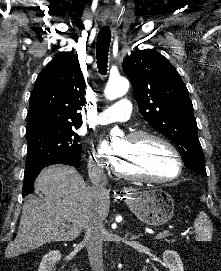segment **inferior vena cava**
Wrapping results in <instances>:
<instances>
[{
    "mask_svg": "<svg viewBox=\"0 0 221 271\" xmlns=\"http://www.w3.org/2000/svg\"><path fill=\"white\" fill-rule=\"evenodd\" d=\"M98 177L92 185V193L96 199H105L109 197V191L106 187L108 179L104 173L103 167L97 165ZM104 217H102L96 205L90 211V217L85 223V245L88 251L90 265L93 271H104L102 245L105 235Z\"/></svg>",
    "mask_w": 221,
    "mask_h": 271,
    "instance_id": "inferior-vena-cava-1",
    "label": "inferior vena cava"
}]
</instances>
